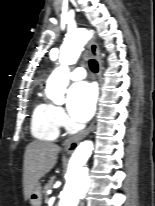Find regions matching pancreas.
Masks as SVG:
<instances>
[{"instance_id": "pancreas-1", "label": "pancreas", "mask_w": 155, "mask_h": 206, "mask_svg": "<svg viewBox=\"0 0 155 206\" xmlns=\"http://www.w3.org/2000/svg\"><path fill=\"white\" fill-rule=\"evenodd\" d=\"M54 179H50L44 186V193L47 195V191L52 187Z\"/></svg>"}]
</instances>
